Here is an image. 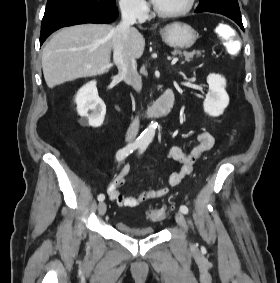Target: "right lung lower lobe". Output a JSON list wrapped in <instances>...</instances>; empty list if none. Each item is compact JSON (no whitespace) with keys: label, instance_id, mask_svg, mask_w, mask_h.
Instances as JSON below:
<instances>
[{"label":"right lung lower lobe","instance_id":"obj_1","mask_svg":"<svg viewBox=\"0 0 280 283\" xmlns=\"http://www.w3.org/2000/svg\"><path fill=\"white\" fill-rule=\"evenodd\" d=\"M118 17V10L114 5L109 9L68 8L45 13L40 34V44L54 31L77 24L110 23Z\"/></svg>","mask_w":280,"mask_h":283}]
</instances>
